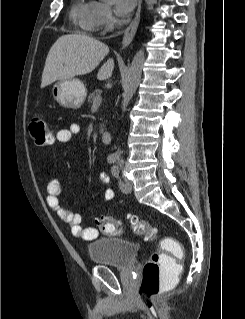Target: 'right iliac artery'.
<instances>
[{
    "mask_svg": "<svg viewBox=\"0 0 245 319\" xmlns=\"http://www.w3.org/2000/svg\"><path fill=\"white\" fill-rule=\"evenodd\" d=\"M116 160H117V159H116V157H114V156H109L108 159H107L108 163H110V164L115 163Z\"/></svg>",
    "mask_w": 245,
    "mask_h": 319,
    "instance_id": "82829eb1",
    "label": "right iliac artery"
}]
</instances>
